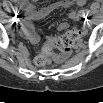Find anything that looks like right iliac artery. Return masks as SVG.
Returning a JSON list of instances; mask_svg holds the SVG:
<instances>
[{
	"mask_svg": "<svg viewBox=\"0 0 103 103\" xmlns=\"http://www.w3.org/2000/svg\"><path fill=\"white\" fill-rule=\"evenodd\" d=\"M12 12H13V14L17 15V13H18L17 7H13V8H12Z\"/></svg>",
	"mask_w": 103,
	"mask_h": 103,
	"instance_id": "1",
	"label": "right iliac artery"
}]
</instances>
